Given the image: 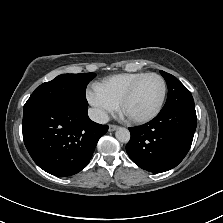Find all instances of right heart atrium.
Here are the masks:
<instances>
[{
  "instance_id": "d8ad5b80",
  "label": "right heart atrium",
  "mask_w": 223,
  "mask_h": 223,
  "mask_svg": "<svg viewBox=\"0 0 223 223\" xmlns=\"http://www.w3.org/2000/svg\"><path fill=\"white\" fill-rule=\"evenodd\" d=\"M88 100L93 107V114L98 120H104L109 114H116L118 103L113 101L98 85H93Z\"/></svg>"
}]
</instances>
